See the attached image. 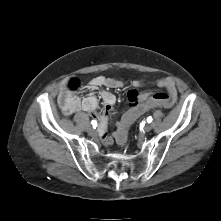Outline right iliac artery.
<instances>
[{
	"mask_svg": "<svg viewBox=\"0 0 221 221\" xmlns=\"http://www.w3.org/2000/svg\"><path fill=\"white\" fill-rule=\"evenodd\" d=\"M91 125H92L94 128H96V126H97V121H96V120H92V121H91Z\"/></svg>",
	"mask_w": 221,
	"mask_h": 221,
	"instance_id": "82829eb1",
	"label": "right iliac artery"
}]
</instances>
